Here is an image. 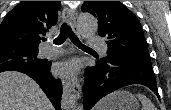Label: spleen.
Segmentation results:
<instances>
[{
  "mask_svg": "<svg viewBox=\"0 0 171 110\" xmlns=\"http://www.w3.org/2000/svg\"><path fill=\"white\" fill-rule=\"evenodd\" d=\"M138 99L140 100L141 104H142V110H157L156 107L154 106V104L151 102V100L143 95V94H137ZM99 104L97 106L96 110H99Z\"/></svg>",
  "mask_w": 171,
  "mask_h": 110,
  "instance_id": "spleen-1",
  "label": "spleen"
}]
</instances>
